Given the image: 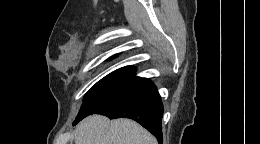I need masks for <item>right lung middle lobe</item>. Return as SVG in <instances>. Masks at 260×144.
Instances as JSON below:
<instances>
[{
    "label": "right lung middle lobe",
    "mask_w": 260,
    "mask_h": 144,
    "mask_svg": "<svg viewBox=\"0 0 260 144\" xmlns=\"http://www.w3.org/2000/svg\"><path fill=\"white\" fill-rule=\"evenodd\" d=\"M135 77L133 71L116 70L97 82L85 95L76 120L88 116L95 108L122 90Z\"/></svg>",
    "instance_id": "dd1d6c3e"
}]
</instances>
